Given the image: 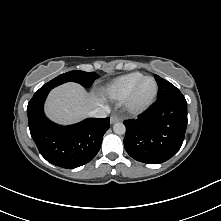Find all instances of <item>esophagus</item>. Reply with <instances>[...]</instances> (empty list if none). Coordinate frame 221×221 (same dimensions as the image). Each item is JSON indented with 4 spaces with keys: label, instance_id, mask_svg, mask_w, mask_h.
<instances>
[{
    "label": "esophagus",
    "instance_id": "1",
    "mask_svg": "<svg viewBox=\"0 0 221 221\" xmlns=\"http://www.w3.org/2000/svg\"><path fill=\"white\" fill-rule=\"evenodd\" d=\"M120 121V117L116 114H113L111 117H110V123L111 124H114L116 122Z\"/></svg>",
    "mask_w": 221,
    "mask_h": 221
}]
</instances>
